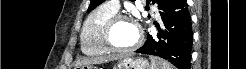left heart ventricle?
<instances>
[{
  "mask_svg": "<svg viewBox=\"0 0 246 69\" xmlns=\"http://www.w3.org/2000/svg\"><path fill=\"white\" fill-rule=\"evenodd\" d=\"M137 28L131 21L119 22L111 36V42L118 48H127L132 46L137 40Z\"/></svg>",
  "mask_w": 246,
  "mask_h": 69,
  "instance_id": "1",
  "label": "left heart ventricle"
}]
</instances>
